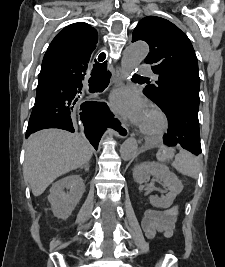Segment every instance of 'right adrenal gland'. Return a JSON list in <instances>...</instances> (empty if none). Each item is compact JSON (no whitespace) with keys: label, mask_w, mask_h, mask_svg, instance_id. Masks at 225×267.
Wrapping results in <instances>:
<instances>
[{"label":"right adrenal gland","mask_w":225,"mask_h":267,"mask_svg":"<svg viewBox=\"0 0 225 267\" xmlns=\"http://www.w3.org/2000/svg\"><path fill=\"white\" fill-rule=\"evenodd\" d=\"M83 168L85 169L86 172H89V163L85 164Z\"/></svg>","instance_id":"obj_1"}]
</instances>
